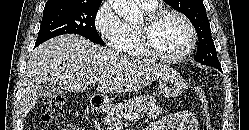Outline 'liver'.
Wrapping results in <instances>:
<instances>
[{
    "mask_svg": "<svg viewBox=\"0 0 249 130\" xmlns=\"http://www.w3.org/2000/svg\"><path fill=\"white\" fill-rule=\"evenodd\" d=\"M170 71L166 65L120 54L81 36L62 35L31 53L21 88V112L26 115L36 105L43 83L82 92L87 80L96 79L98 92L130 93Z\"/></svg>",
    "mask_w": 249,
    "mask_h": 130,
    "instance_id": "obj_1",
    "label": "liver"
}]
</instances>
